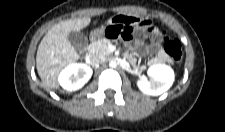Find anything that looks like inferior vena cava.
I'll return each mask as SVG.
<instances>
[{
	"mask_svg": "<svg viewBox=\"0 0 225 132\" xmlns=\"http://www.w3.org/2000/svg\"><path fill=\"white\" fill-rule=\"evenodd\" d=\"M105 62V57L101 55H93L91 58V64L92 65H99Z\"/></svg>",
	"mask_w": 225,
	"mask_h": 132,
	"instance_id": "inferior-vena-cava-1",
	"label": "inferior vena cava"
}]
</instances>
